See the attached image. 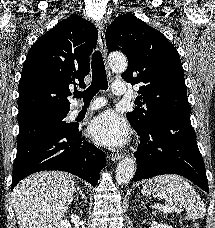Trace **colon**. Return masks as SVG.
<instances>
[{
	"label": "colon",
	"mask_w": 215,
	"mask_h": 228,
	"mask_svg": "<svg viewBox=\"0 0 215 228\" xmlns=\"http://www.w3.org/2000/svg\"><path fill=\"white\" fill-rule=\"evenodd\" d=\"M180 228H198V224L192 218L184 217L180 221Z\"/></svg>",
	"instance_id": "5ec220e1"
}]
</instances>
